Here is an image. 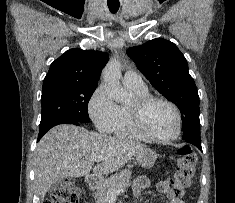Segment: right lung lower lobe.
Segmentation results:
<instances>
[{"label": "right lung lower lobe", "mask_w": 235, "mask_h": 203, "mask_svg": "<svg viewBox=\"0 0 235 203\" xmlns=\"http://www.w3.org/2000/svg\"><path fill=\"white\" fill-rule=\"evenodd\" d=\"M59 124H74V125H80V122L76 121H59V122H54L49 125H46L44 127L39 128V135H38V141L42 138V136L52 127L59 125Z\"/></svg>", "instance_id": "right-lung-lower-lobe-1"}]
</instances>
